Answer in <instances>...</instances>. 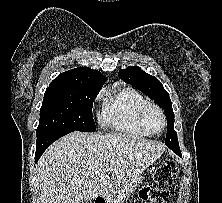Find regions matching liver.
I'll list each match as a JSON object with an SVG mask.
<instances>
[{
  "label": "liver",
  "mask_w": 222,
  "mask_h": 203,
  "mask_svg": "<svg viewBox=\"0 0 222 203\" xmlns=\"http://www.w3.org/2000/svg\"><path fill=\"white\" fill-rule=\"evenodd\" d=\"M163 152L159 142L131 134L69 133L37 163L41 203L119 196L120 189L140 177Z\"/></svg>",
  "instance_id": "liver-1"
}]
</instances>
